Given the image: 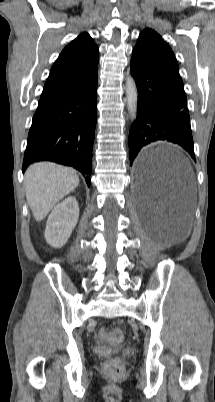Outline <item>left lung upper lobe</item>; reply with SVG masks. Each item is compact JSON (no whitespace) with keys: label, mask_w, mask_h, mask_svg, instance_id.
Segmentation results:
<instances>
[{"label":"left lung upper lobe","mask_w":215,"mask_h":402,"mask_svg":"<svg viewBox=\"0 0 215 402\" xmlns=\"http://www.w3.org/2000/svg\"><path fill=\"white\" fill-rule=\"evenodd\" d=\"M131 61L161 72L180 84L178 63L170 46L152 29H144L133 49Z\"/></svg>","instance_id":"obj_1"}]
</instances>
